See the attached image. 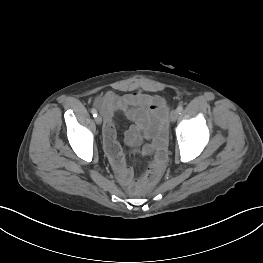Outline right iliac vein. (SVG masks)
<instances>
[{
	"instance_id": "63e3f726",
	"label": "right iliac vein",
	"mask_w": 263,
	"mask_h": 263,
	"mask_svg": "<svg viewBox=\"0 0 263 263\" xmlns=\"http://www.w3.org/2000/svg\"><path fill=\"white\" fill-rule=\"evenodd\" d=\"M95 121L98 125L102 123V117L100 115L96 116Z\"/></svg>"
}]
</instances>
